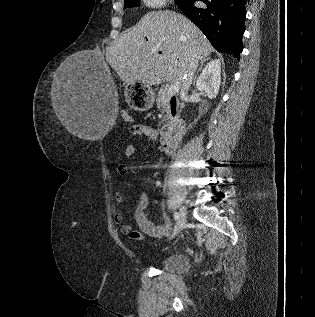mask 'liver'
<instances>
[{"label":"liver","mask_w":315,"mask_h":317,"mask_svg":"<svg viewBox=\"0 0 315 317\" xmlns=\"http://www.w3.org/2000/svg\"><path fill=\"white\" fill-rule=\"evenodd\" d=\"M212 51L208 39L185 16L169 10L151 11L123 34L116 45L107 48L106 60L124 83L141 82L149 86L182 81L190 62L198 64L200 58ZM70 64L71 59H67L61 68ZM53 106L65 128L81 137L80 123L57 103Z\"/></svg>","instance_id":"liver-1"}]
</instances>
